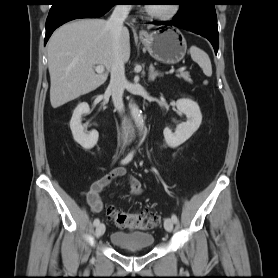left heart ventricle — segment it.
I'll return each mask as SVG.
<instances>
[{
  "instance_id": "obj_1",
  "label": "left heart ventricle",
  "mask_w": 278,
  "mask_h": 278,
  "mask_svg": "<svg viewBox=\"0 0 278 278\" xmlns=\"http://www.w3.org/2000/svg\"><path fill=\"white\" fill-rule=\"evenodd\" d=\"M149 7L156 12H166L170 9L171 5L170 4L150 5Z\"/></svg>"
}]
</instances>
